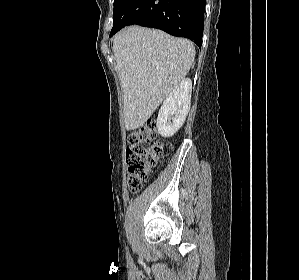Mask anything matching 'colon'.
I'll use <instances>...</instances> for the list:
<instances>
[{
  "mask_svg": "<svg viewBox=\"0 0 299 280\" xmlns=\"http://www.w3.org/2000/svg\"><path fill=\"white\" fill-rule=\"evenodd\" d=\"M154 122L132 131L127 139L126 162L128 186L131 192L140 191L163 155L162 144L156 142ZM154 142L152 145L150 143Z\"/></svg>",
  "mask_w": 299,
  "mask_h": 280,
  "instance_id": "obj_1",
  "label": "colon"
}]
</instances>
